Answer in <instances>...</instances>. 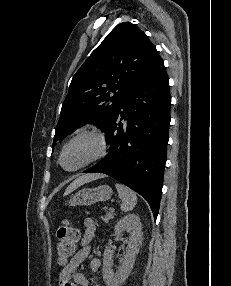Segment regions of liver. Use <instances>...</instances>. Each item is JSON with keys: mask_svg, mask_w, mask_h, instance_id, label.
<instances>
[{"mask_svg": "<svg viewBox=\"0 0 231 286\" xmlns=\"http://www.w3.org/2000/svg\"><path fill=\"white\" fill-rule=\"evenodd\" d=\"M104 175L101 174H87V175H83L80 176L79 178L75 179L66 189L64 195H68L70 194L72 191H74L75 189H77L79 186L90 182V181H94L100 178H103Z\"/></svg>", "mask_w": 231, "mask_h": 286, "instance_id": "liver-1", "label": "liver"}]
</instances>
